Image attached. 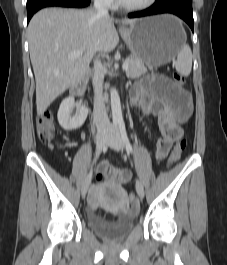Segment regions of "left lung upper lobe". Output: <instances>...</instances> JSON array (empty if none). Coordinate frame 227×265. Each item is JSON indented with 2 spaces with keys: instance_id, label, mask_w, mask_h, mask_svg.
<instances>
[{
  "instance_id": "1",
  "label": "left lung upper lobe",
  "mask_w": 227,
  "mask_h": 265,
  "mask_svg": "<svg viewBox=\"0 0 227 265\" xmlns=\"http://www.w3.org/2000/svg\"><path fill=\"white\" fill-rule=\"evenodd\" d=\"M161 1H164V0H156V2H161Z\"/></svg>"
}]
</instances>
